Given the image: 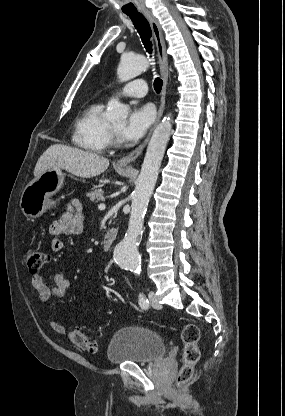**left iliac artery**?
Segmentation results:
<instances>
[{"label": "left iliac artery", "instance_id": "left-iliac-artery-1", "mask_svg": "<svg viewBox=\"0 0 285 416\" xmlns=\"http://www.w3.org/2000/svg\"><path fill=\"white\" fill-rule=\"evenodd\" d=\"M139 305L142 309H148L149 307V301L143 292L139 294Z\"/></svg>", "mask_w": 285, "mask_h": 416}]
</instances>
